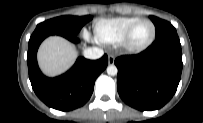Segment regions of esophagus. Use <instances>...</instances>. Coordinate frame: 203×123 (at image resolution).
Returning <instances> with one entry per match:
<instances>
[{"label": "esophagus", "mask_w": 203, "mask_h": 123, "mask_svg": "<svg viewBox=\"0 0 203 123\" xmlns=\"http://www.w3.org/2000/svg\"><path fill=\"white\" fill-rule=\"evenodd\" d=\"M114 61H115V57L113 55H108V63L110 65L114 64Z\"/></svg>", "instance_id": "1"}]
</instances>
